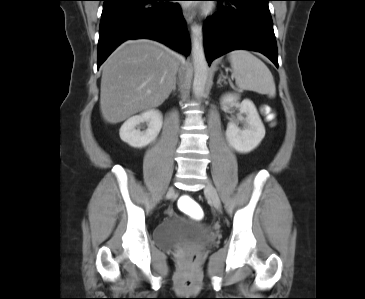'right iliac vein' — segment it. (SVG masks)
I'll return each instance as SVG.
<instances>
[{
	"label": "right iliac vein",
	"instance_id": "63e3f726",
	"mask_svg": "<svg viewBox=\"0 0 365 299\" xmlns=\"http://www.w3.org/2000/svg\"><path fill=\"white\" fill-rule=\"evenodd\" d=\"M173 192H174V188H173V187H171V188L169 189L168 193H169V194H171V193H173Z\"/></svg>",
	"mask_w": 365,
	"mask_h": 299
}]
</instances>
